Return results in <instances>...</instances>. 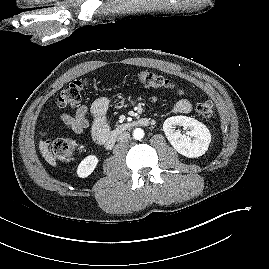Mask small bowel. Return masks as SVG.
<instances>
[{
  "mask_svg": "<svg viewBox=\"0 0 269 269\" xmlns=\"http://www.w3.org/2000/svg\"><path fill=\"white\" fill-rule=\"evenodd\" d=\"M183 90L179 88L177 95L179 100L173 106L175 114L184 115L191 111V104L188 100L183 98ZM109 107V100L105 97L96 99L90 109L84 104L77 107L74 115L62 114L60 121L71 131L75 133H83L90 129L93 139L99 143H104L107 134L109 133V126L107 123V111ZM90 111L92 115V122L87 118V113Z\"/></svg>",
  "mask_w": 269,
  "mask_h": 269,
  "instance_id": "1",
  "label": "small bowel"
}]
</instances>
